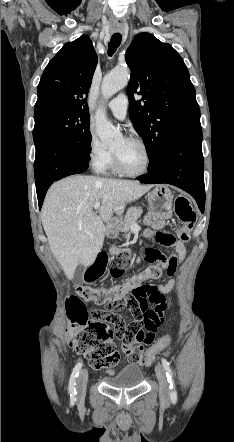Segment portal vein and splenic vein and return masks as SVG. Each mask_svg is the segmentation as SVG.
Masks as SVG:
<instances>
[{
	"label": "portal vein and splenic vein",
	"instance_id": "obj_1",
	"mask_svg": "<svg viewBox=\"0 0 234 442\" xmlns=\"http://www.w3.org/2000/svg\"><path fill=\"white\" fill-rule=\"evenodd\" d=\"M99 208H100V202H96V203L94 204V209L97 210V209H99Z\"/></svg>",
	"mask_w": 234,
	"mask_h": 442
}]
</instances>
